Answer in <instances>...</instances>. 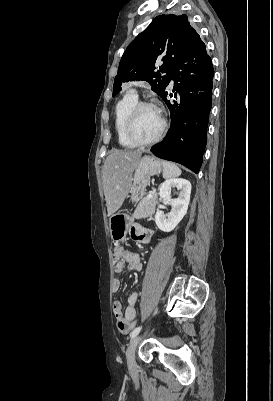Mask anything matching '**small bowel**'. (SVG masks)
I'll list each match as a JSON object with an SVG mask.
<instances>
[{"label":"small bowel","instance_id":"small-bowel-1","mask_svg":"<svg viewBox=\"0 0 273 401\" xmlns=\"http://www.w3.org/2000/svg\"><path fill=\"white\" fill-rule=\"evenodd\" d=\"M153 231L150 228H130L129 236L134 239H145L152 236ZM114 271L117 274H121L125 271L126 265L130 270L139 271L141 269L140 257L137 253L126 250L120 246H116L114 249ZM121 280L116 278L113 280L112 289L117 292L121 289ZM139 301V294L132 292L127 301V306L122 307L121 302L115 301L113 305V311L116 321V327L119 332L127 333L132 330L136 324L137 319V304Z\"/></svg>","mask_w":273,"mask_h":401}]
</instances>
